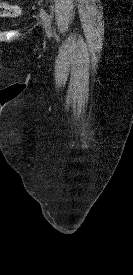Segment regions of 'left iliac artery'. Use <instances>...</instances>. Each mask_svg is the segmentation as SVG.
Wrapping results in <instances>:
<instances>
[{
	"label": "left iliac artery",
	"instance_id": "obj_1",
	"mask_svg": "<svg viewBox=\"0 0 133 275\" xmlns=\"http://www.w3.org/2000/svg\"><path fill=\"white\" fill-rule=\"evenodd\" d=\"M40 14L48 24L51 23V16L43 8L40 9ZM48 34L51 35V32H49Z\"/></svg>",
	"mask_w": 133,
	"mask_h": 275
}]
</instances>
